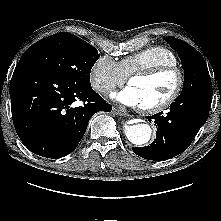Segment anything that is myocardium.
Here are the masks:
<instances>
[{
    "mask_svg": "<svg viewBox=\"0 0 221 221\" xmlns=\"http://www.w3.org/2000/svg\"><path fill=\"white\" fill-rule=\"evenodd\" d=\"M164 73H175L177 76V84L172 92V94L167 97L165 100L151 105V106H140V109L147 113H159L162 112L169 107H171L175 101L180 97L184 84H185V75L183 70L177 65H159L156 67L138 70L133 72L128 77V83L134 78H150L155 77Z\"/></svg>",
    "mask_w": 221,
    "mask_h": 221,
    "instance_id": "f54148a6",
    "label": "myocardium"
}]
</instances>
